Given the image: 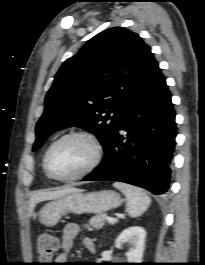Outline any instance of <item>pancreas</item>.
I'll return each instance as SVG.
<instances>
[{"label":"pancreas","instance_id":"1","mask_svg":"<svg viewBox=\"0 0 205 265\" xmlns=\"http://www.w3.org/2000/svg\"><path fill=\"white\" fill-rule=\"evenodd\" d=\"M107 218H108L107 214H104V213L96 215V216L92 217L89 221V224H86L84 227L90 231L93 230V228L94 229H100L104 226Z\"/></svg>","mask_w":205,"mask_h":265}]
</instances>
